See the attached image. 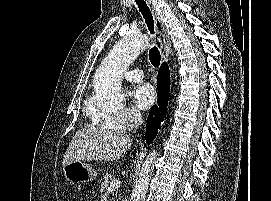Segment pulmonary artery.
Returning a JSON list of instances; mask_svg holds the SVG:
<instances>
[{
  "label": "pulmonary artery",
  "mask_w": 271,
  "mask_h": 201,
  "mask_svg": "<svg viewBox=\"0 0 271 201\" xmlns=\"http://www.w3.org/2000/svg\"><path fill=\"white\" fill-rule=\"evenodd\" d=\"M124 76L127 80L132 82L141 81L144 78V73L141 69H132L124 73Z\"/></svg>",
  "instance_id": "e3ab8cb5"
}]
</instances>
